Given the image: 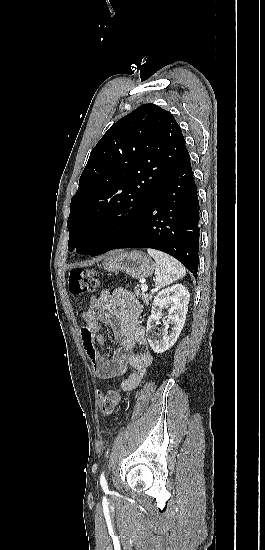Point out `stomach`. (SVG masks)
I'll list each match as a JSON object with an SVG mask.
<instances>
[{"label":"stomach","instance_id":"stomach-1","mask_svg":"<svg viewBox=\"0 0 265 550\" xmlns=\"http://www.w3.org/2000/svg\"><path fill=\"white\" fill-rule=\"evenodd\" d=\"M102 265L108 272L121 271L134 279L149 277L154 270L151 258L136 250L131 252L113 251L104 258Z\"/></svg>","mask_w":265,"mask_h":550}]
</instances>
